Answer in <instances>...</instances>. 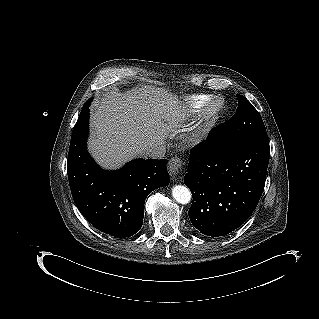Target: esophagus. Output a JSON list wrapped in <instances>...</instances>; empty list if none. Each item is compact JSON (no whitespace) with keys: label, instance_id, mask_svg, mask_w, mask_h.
Instances as JSON below:
<instances>
[{"label":"esophagus","instance_id":"34e87169","mask_svg":"<svg viewBox=\"0 0 319 319\" xmlns=\"http://www.w3.org/2000/svg\"><path fill=\"white\" fill-rule=\"evenodd\" d=\"M182 168V161L178 157H173L168 163V171L171 176H176Z\"/></svg>","mask_w":319,"mask_h":319}]
</instances>
